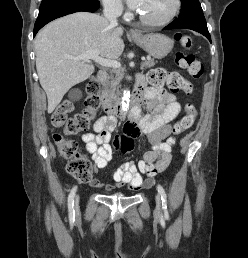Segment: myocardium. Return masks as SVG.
I'll list each match as a JSON object with an SVG mask.
<instances>
[{
  "mask_svg": "<svg viewBox=\"0 0 248 258\" xmlns=\"http://www.w3.org/2000/svg\"><path fill=\"white\" fill-rule=\"evenodd\" d=\"M180 9H181V0H175V6H174L173 11L165 19H162L159 21H153V20H149V19L145 18L144 16H142L140 14L138 15V19L146 26L161 27V26H165V25H168L169 23H171L175 19V17L178 15Z\"/></svg>",
  "mask_w": 248,
  "mask_h": 258,
  "instance_id": "myocardium-1",
  "label": "myocardium"
}]
</instances>
